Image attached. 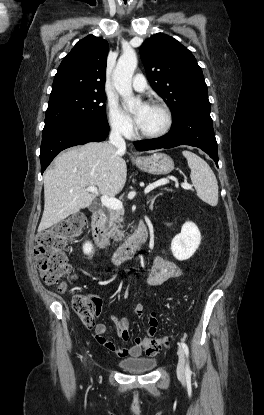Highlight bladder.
<instances>
[{
	"label": "bladder",
	"instance_id": "31cf9c89",
	"mask_svg": "<svg viewBox=\"0 0 264 415\" xmlns=\"http://www.w3.org/2000/svg\"><path fill=\"white\" fill-rule=\"evenodd\" d=\"M125 371L131 373L147 372L157 365V360L147 358H125L118 362Z\"/></svg>",
	"mask_w": 264,
	"mask_h": 415
}]
</instances>
